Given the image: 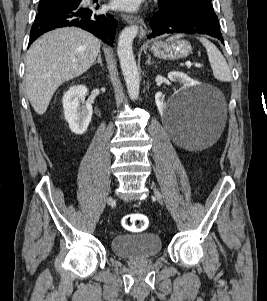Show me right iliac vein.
I'll use <instances>...</instances> for the list:
<instances>
[{
    "label": "right iliac vein",
    "instance_id": "right-iliac-vein-1",
    "mask_svg": "<svg viewBox=\"0 0 267 301\" xmlns=\"http://www.w3.org/2000/svg\"><path fill=\"white\" fill-rule=\"evenodd\" d=\"M111 201H112V198H108V199H107V202H108V203H111Z\"/></svg>",
    "mask_w": 267,
    "mask_h": 301
}]
</instances>
